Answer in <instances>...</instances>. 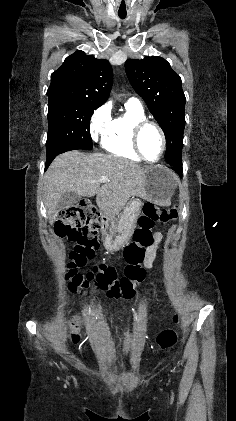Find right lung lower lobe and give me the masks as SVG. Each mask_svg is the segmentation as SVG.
<instances>
[{
	"label": "right lung lower lobe",
	"instance_id": "1",
	"mask_svg": "<svg viewBox=\"0 0 236 421\" xmlns=\"http://www.w3.org/2000/svg\"><path fill=\"white\" fill-rule=\"evenodd\" d=\"M75 149H76L75 147H64V148L58 149L56 152H53L50 155H47L45 170L48 168V166L51 164V162L54 160V158L57 155H59L60 153H64L66 151L75 150Z\"/></svg>",
	"mask_w": 236,
	"mask_h": 421
}]
</instances>
